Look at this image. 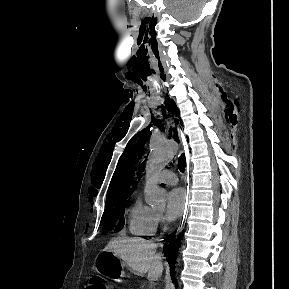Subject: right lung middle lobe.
<instances>
[{
    "label": "right lung middle lobe",
    "instance_id": "dd1d6c3e",
    "mask_svg": "<svg viewBox=\"0 0 289 289\" xmlns=\"http://www.w3.org/2000/svg\"><path fill=\"white\" fill-rule=\"evenodd\" d=\"M106 210L107 209H105V212L103 214V217L101 219V223L100 224L104 225V226H106L107 228L110 229V228H112L114 226V224H115V222L117 220V217H115V216L114 217H110L112 214L111 213H107ZM119 220H120V222H119L117 228L115 229V232L121 230L123 228V226H124L123 215H121Z\"/></svg>",
    "mask_w": 289,
    "mask_h": 289
}]
</instances>
